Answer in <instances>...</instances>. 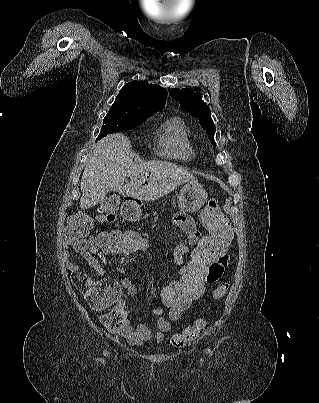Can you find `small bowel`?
I'll use <instances>...</instances> for the list:
<instances>
[{
	"label": "small bowel",
	"instance_id": "obj_1",
	"mask_svg": "<svg viewBox=\"0 0 319 403\" xmlns=\"http://www.w3.org/2000/svg\"><path fill=\"white\" fill-rule=\"evenodd\" d=\"M173 224L180 227L183 232L189 237V244H179L174 250V259L179 266V275H184V258L191 254L192 249H195V242H199L201 234L197 229L194 221L184 213H178L173 217ZM68 239V237H67ZM193 247V248H192ZM127 255V254H122ZM64 256L66 259V268L71 272H78L82 267L69 261V248H64ZM228 255L225 252L220 253L219 257L210 264L211 272L207 274L205 284L213 286L221 277L223 266L227 262ZM85 259L93 268L97 277H103L105 269L103 267V254H95L89 252L85 254ZM177 282V280L172 281ZM121 285H117L116 279H90V285L86 292V299L91 309H106V313L102 315V324L105 325L108 335H118L130 344H139L151 338L162 340L164 333L170 328L169 321L161 318L158 322L159 331L156 333L144 326H133L130 322L129 312L124 300L123 289L128 296L137 294V286L128 277L121 279ZM162 291L159 289L161 299ZM202 297V296H200ZM158 313V309L155 310ZM161 314V313H158ZM182 313H168L169 320L175 321L181 317Z\"/></svg>",
	"mask_w": 319,
	"mask_h": 403
}]
</instances>
